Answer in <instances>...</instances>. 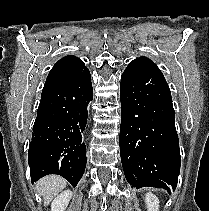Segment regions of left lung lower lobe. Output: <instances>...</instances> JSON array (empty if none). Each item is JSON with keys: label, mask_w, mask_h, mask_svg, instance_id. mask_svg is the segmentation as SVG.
Returning <instances> with one entry per match:
<instances>
[{"label": "left lung lower lobe", "mask_w": 209, "mask_h": 211, "mask_svg": "<svg viewBox=\"0 0 209 211\" xmlns=\"http://www.w3.org/2000/svg\"><path fill=\"white\" fill-rule=\"evenodd\" d=\"M120 154L131 187L176 188L179 140L168 84L146 57L129 63L121 76Z\"/></svg>", "instance_id": "0a47b994"}]
</instances>
